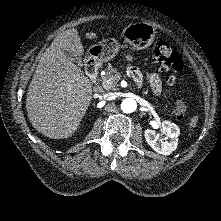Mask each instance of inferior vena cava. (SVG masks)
Listing matches in <instances>:
<instances>
[{"label": "inferior vena cava", "mask_w": 221, "mask_h": 221, "mask_svg": "<svg viewBox=\"0 0 221 221\" xmlns=\"http://www.w3.org/2000/svg\"><path fill=\"white\" fill-rule=\"evenodd\" d=\"M103 97H104V98H107V97H109V95H108V94H105Z\"/></svg>", "instance_id": "1"}]
</instances>
